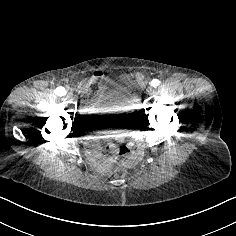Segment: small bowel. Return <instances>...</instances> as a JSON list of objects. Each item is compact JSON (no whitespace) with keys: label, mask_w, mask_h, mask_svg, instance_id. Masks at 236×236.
<instances>
[{"label":"small bowel","mask_w":236,"mask_h":236,"mask_svg":"<svg viewBox=\"0 0 236 236\" xmlns=\"http://www.w3.org/2000/svg\"><path fill=\"white\" fill-rule=\"evenodd\" d=\"M129 74H124L121 80H128ZM141 79L140 76H138ZM112 80L101 71L94 72L90 77L82 79L77 85L78 92L84 98L82 112L90 116L99 111V98L106 93V83ZM100 85V95L96 99H89L92 86ZM143 137L140 129L135 126L114 128L107 132L90 135L86 138L87 155L101 170L109 171L115 163L132 165L137 163L143 155ZM118 141L119 144L114 142ZM103 143H106L108 154L103 153Z\"/></svg>","instance_id":"small-bowel-1"}]
</instances>
